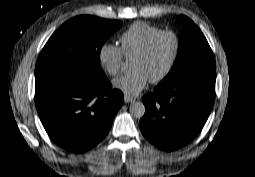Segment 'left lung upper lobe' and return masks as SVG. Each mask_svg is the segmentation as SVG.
I'll return each instance as SVG.
<instances>
[{"label": "left lung upper lobe", "instance_id": "5c2ea615", "mask_svg": "<svg viewBox=\"0 0 255 177\" xmlns=\"http://www.w3.org/2000/svg\"><path fill=\"white\" fill-rule=\"evenodd\" d=\"M181 21L183 28L176 62L159 87L169 86L197 73L215 72L214 56L203 33L188 17L182 16Z\"/></svg>", "mask_w": 255, "mask_h": 177}]
</instances>
